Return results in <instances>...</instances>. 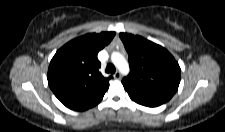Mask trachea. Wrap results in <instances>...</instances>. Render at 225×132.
Wrapping results in <instances>:
<instances>
[{
	"label": "trachea",
	"instance_id": "obj_1",
	"mask_svg": "<svg viewBox=\"0 0 225 132\" xmlns=\"http://www.w3.org/2000/svg\"><path fill=\"white\" fill-rule=\"evenodd\" d=\"M115 71H116V69H115V66L113 64H108L107 65V68H106V72L107 73L113 74V73H115Z\"/></svg>",
	"mask_w": 225,
	"mask_h": 132
}]
</instances>
